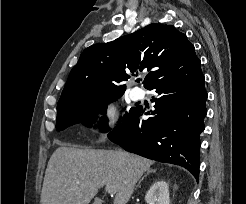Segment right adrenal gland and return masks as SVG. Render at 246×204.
Instances as JSON below:
<instances>
[{
	"mask_svg": "<svg viewBox=\"0 0 246 204\" xmlns=\"http://www.w3.org/2000/svg\"><path fill=\"white\" fill-rule=\"evenodd\" d=\"M152 172H156V169H148L147 170V173L139 180L138 184H137V187L140 185V183L143 181V179L149 174V173H152Z\"/></svg>",
	"mask_w": 246,
	"mask_h": 204,
	"instance_id": "obj_1",
	"label": "right adrenal gland"
}]
</instances>
